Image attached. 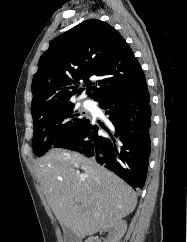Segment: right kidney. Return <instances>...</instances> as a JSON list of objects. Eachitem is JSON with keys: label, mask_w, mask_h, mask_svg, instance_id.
<instances>
[{"label": "right kidney", "mask_w": 187, "mask_h": 242, "mask_svg": "<svg viewBox=\"0 0 187 242\" xmlns=\"http://www.w3.org/2000/svg\"><path fill=\"white\" fill-rule=\"evenodd\" d=\"M104 231L109 232V239L107 242H119L127 229V224L124 220H118L103 228ZM85 242H94V238H89Z\"/></svg>", "instance_id": "1"}]
</instances>
